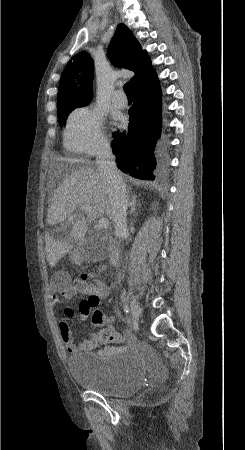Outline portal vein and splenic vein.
Segmentation results:
<instances>
[{"instance_id":"portal-vein-and-splenic-vein-1","label":"portal vein and splenic vein","mask_w":245,"mask_h":450,"mask_svg":"<svg viewBox=\"0 0 245 450\" xmlns=\"http://www.w3.org/2000/svg\"><path fill=\"white\" fill-rule=\"evenodd\" d=\"M80 210H81L82 212H85L88 216H91V217H93V218L96 217L95 214H94V212H93V210H92V208H91L90 206H81V207H80ZM69 222H73V216H71V217L69 218ZM108 225H109L108 219H106V218H101V219L99 220V225H98L99 228H107Z\"/></svg>"}]
</instances>
